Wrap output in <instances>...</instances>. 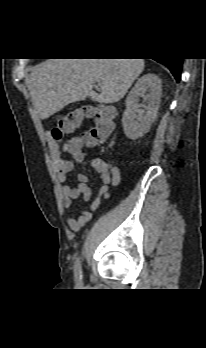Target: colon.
I'll list each match as a JSON object with an SVG mask.
<instances>
[{
  "label": "colon",
  "mask_w": 206,
  "mask_h": 348,
  "mask_svg": "<svg viewBox=\"0 0 206 348\" xmlns=\"http://www.w3.org/2000/svg\"><path fill=\"white\" fill-rule=\"evenodd\" d=\"M115 111L110 106H87L59 114L51 132L54 140H61L66 134L79 128L86 119L93 121L92 127L80 137L73 138L66 146L67 150L79 155L93 144L106 140L114 128Z\"/></svg>",
  "instance_id": "obj_1"
}]
</instances>
